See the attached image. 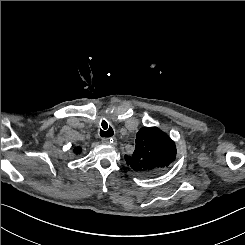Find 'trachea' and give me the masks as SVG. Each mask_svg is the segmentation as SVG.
I'll return each mask as SVG.
<instances>
[{
    "mask_svg": "<svg viewBox=\"0 0 245 245\" xmlns=\"http://www.w3.org/2000/svg\"><path fill=\"white\" fill-rule=\"evenodd\" d=\"M113 134H114V131H113L112 127H110L105 120H102L101 128H100V135L102 137L107 138V137L113 136Z\"/></svg>",
    "mask_w": 245,
    "mask_h": 245,
    "instance_id": "trachea-1",
    "label": "trachea"
}]
</instances>
